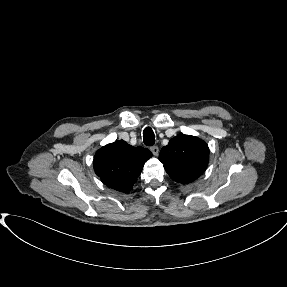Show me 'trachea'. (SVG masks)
Masks as SVG:
<instances>
[{"label":"trachea","instance_id":"obj_1","mask_svg":"<svg viewBox=\"0 0 287 287\" xmlns=\"http://www.w3.org/2000/svg\"><path fill=\"white\" fill-rule=\"evenodd\" d=\"M143 141L147 146H152L155 143V135L150 127H146L143 131Z\"/></svg>","mask_w":287,"mask_h":287}]
</instances>
